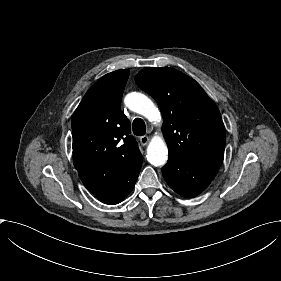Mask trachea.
I'll return each instance as SVG.
<instances>
[{"label":"trachea","mask_w":281,"mask_h":281,"mask_svg":"<svg viewBox=\"0 0 281 281\" xmlns=\"http://www.w3.org/2000/svg\"><path fill=\"white\" fill-rule=\"evenodd\" d=\"M133 133L137 136H143L146 133V125L141 118L134 119Z\"/></svg>","instance_id":"3493384b"}]
</instances>
